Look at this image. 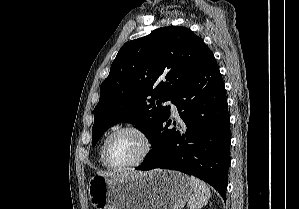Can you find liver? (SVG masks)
<instances>
[{
	"instance_id": "obj_1",
	"label": "liver",
	"mask_w": 299,
	"mask_h": 209,
	"mask_svg": "<svg viewBox=\"0 0 299 209\" xmlns=\"http://www.w3.org/2000/svg\"><path fill=\"white\" fill-rule=\"evenodd\" d=\"M140 174H143V173L142 172H137V171H128V172H123V173H120V174H117V175L115 173L102 172L100 175L105 176V177L116 178V177H127V176H130V175H140Z\"/></svg>"
}]
</instances>
